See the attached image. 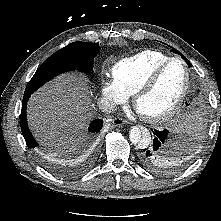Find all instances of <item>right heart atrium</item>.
I'll return each mask as SVG.
<instances>
[{"instance_id": "obj_1", "label": "right heart atrium", "mask_w": 221, "mask_h": 221, "mask_svg": "<svg viewBox=\"0 0 221 221\" xmlns=\"http://www.w3.org/2000/svg\"><path fill=\"white\" fill-rule=\"evenodd\" d=\"M100 93L104 102L110 107L123 104L128 99V94L115 79L108 76L101 78Z\"/></svg>"}]
</instances>
